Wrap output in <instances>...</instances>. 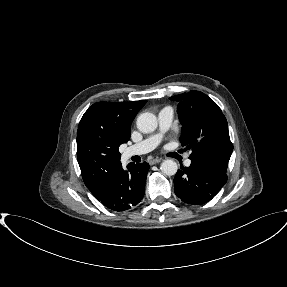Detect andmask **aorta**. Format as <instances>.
<instances>
[{
  "label": "aorta",
  "instance_id": "1",
  "mask_svg": "<svg viewBox=\"0 0 287 287\" xmlns=\"http://www.w3.org/2000/svg\"><path fill=\"white\" fill-rule=\"evenodd\" d=\"M136 125L140 132L151 133L156 130L158 122L154 114L145 112L138 116ZM160 169L163 174L172 176L177 173L178 165L174 160L167 159L161 163Z\"/></svg>",
  "mask_w": 287,
  "mask_h": 287
}]
</instances>
